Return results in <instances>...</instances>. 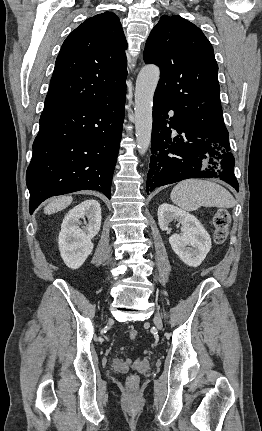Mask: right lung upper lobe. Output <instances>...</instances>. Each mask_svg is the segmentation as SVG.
Listing matches in <instances>:
<instances>
[{
  "instance_id": "obj_1",
  "label": "right lung upper lobe",
  "mask_w": 262,
  "mask_h": 431,
  "mask_svg": "<svg viewBox=\"0 0 262 431\" xmlns=\"http://www.w3.org/2000/svg\"><path fill=\"white\" fill-rule=\"evenodd\" d=\"M127 42L118 17H91L64 41L56 59L45 107L95 105L126 90Z\"/></svg>"
}]
</instances>
